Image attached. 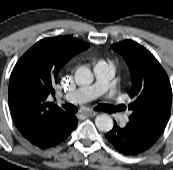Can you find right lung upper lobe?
Masks as SVG:
<instances>
[{
  "mask_svg": "<svg viewBox=\"0 0 173 170\" xmlns=\"http://www.w3.org/2000/svg\"><path fill=\"white\" fill-rule=\"evenodd\" d=\"M89 45L77 38H45L31 47L16 63L9 81V105L22 134L29 133L68 113L48 101L54 95L63 66Z\"/></svg>",
  "mask_w": 173,
  "mask_h": 170,
  "instance_id": "obj_1",
  "label": "right lung upper lobe"
}]
</instances>
